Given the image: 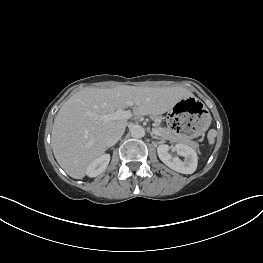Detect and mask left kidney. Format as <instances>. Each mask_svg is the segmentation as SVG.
<instances>
[{
  "label": "left kidney",
  "mask_w": 263,
  "mask_h": 263,
  "mask_svg": "<svg viewBox=\"0 0 263 263\" xmlns=\"http://www.w3.org/2000/svg\"><path fill=\"white\" fill-rule=\"evenodd\" d=\"M170 147L166 144L159 145L157 153L160 160L174 171L182 174H192L195 172L198 163L196 151L188 145L176 144L174 150L179 156L184 157L182 161L177 156H172L169 153Z\"/></svg>",
  "instance_id": "5707ae66"
}]
</instances>
